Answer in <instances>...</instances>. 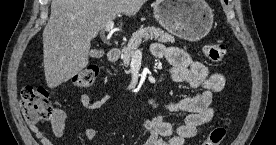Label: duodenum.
Returning a JSON list of instances; mask_svg holds the SVG:
<instances>
[{"mask_svg": "<svg viewBox=\"0 0 276 145\" xmlns=\"http://www.w3.org/2000/svg\"><path fill=\"white\" fill-rule=\"evenodd\" d=\"M120 49L118 47H112L108 50L106 59L108 62H115L119 59Z\"/></svg>", "mask_w": 276, "mask_h": 145, "instance_id": "410a0bca", "label": "duodenum"}]
</instances>
